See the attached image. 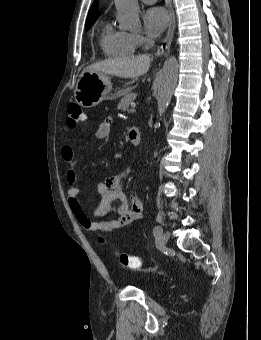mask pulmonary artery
I'll return each mask as SVG.
<instances>
[{
    "label": "pulmonary artery",
    "instance_id": "e3ab8cb5",
    "mask_svg": "<svg viewBox=\"0 0 261 340\" xmlns=\"http://www.w3.org/2000/svg\"><path fill=\"white\" fill-rule=\"evenodd\" d=\"M141 1H143L144 3L151 4L154 3L156 0H141Z\"/></svg>",
    "mask_w": 261,
    "mask_h": 340
}]
</instances>
